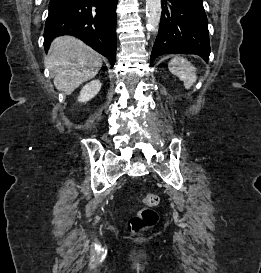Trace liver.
<instances>
[{"instance_id": "1", "label": "liver", "mask_w": 261, "mask_h": 273, "mask_svg": "<svg viewBox=\"0 0 261 273\" xmlns=\"http://www.w3.org/2000/svg\"><path fill=\"white\" fill-rule=\"evenodd\" d=\"M45 65L55 75L54 85L57 90L70 95L98 74L102 58L75 37L63 36L52 42Z\"/></svg>"}]
</instances>
